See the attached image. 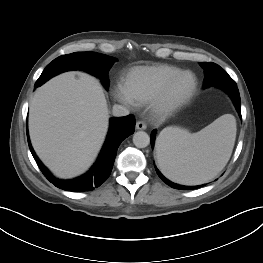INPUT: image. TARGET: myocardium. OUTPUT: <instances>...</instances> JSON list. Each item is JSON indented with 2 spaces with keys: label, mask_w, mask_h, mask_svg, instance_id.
I'll use <instances>...</instances> for the list:
<instances>
[{
  "label": "myocardium",
  "mask_w": 263,
  "mask_h": 263,
  "mask_svg": "<svg viewBox=\"0 0 263 263\" xmlns=\"http://www.w3.org/2000/svg\"><path fill=\"white\" fill-rule=\"evenodd\" d=\"M187 75H190L193 78L190 89L182 96H174V87L183 77ZM197 87L198 78L194 72L190 70H183L179 72L171 77L152 98L150 101L152 112L158 117H166L173 114L192 99Z\"/></svg>",
  "instance_id": "f54148a6"
}]
</instances>
